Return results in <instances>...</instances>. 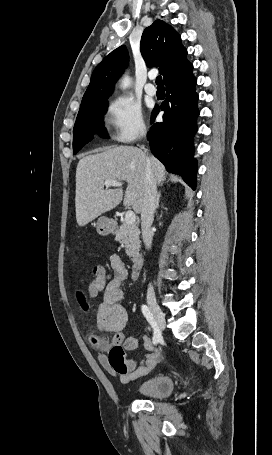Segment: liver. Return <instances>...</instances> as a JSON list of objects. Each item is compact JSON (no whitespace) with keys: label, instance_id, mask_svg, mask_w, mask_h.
Masks as SVG:
<instances>
[{"label":"liver","instance_id":"6515ba94","mask_svg":"<svg viewBox=\"0 0 272 455\" xmlns=\"http://www.w3.org/2000/svg\"><path fill=\"white\" fill-rule=\"evenodd\" d=\"M149 159L156 183L165 180V168L154 156L131 146L110 147L90 154L78 162L76 169V219L85 226L101 214L115 208L123 199V190L104 189L107 180L126 181L123 204L141 213L145 192V168Z\"/></svg>","mask_w":272,"mask_h":455}]
</instances>
